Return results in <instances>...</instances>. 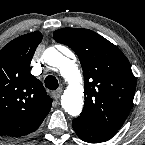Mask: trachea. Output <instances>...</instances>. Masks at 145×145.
<instances>
[{"instance_id":"1","label":"trachea","mask_w":145,"mask_h":145,"mask_svg":"<svg viewBox=\"0 0 145 145\" xmlns=\"http://www.w3.org/2000/svg\"><path fill=\"white\" fill-rule=\"evenodd\" d=\"M45 86L49 89V90H56L59 86L57 79L52 76V75H48L45 78Z\"/></svg>"}]
</instances>
